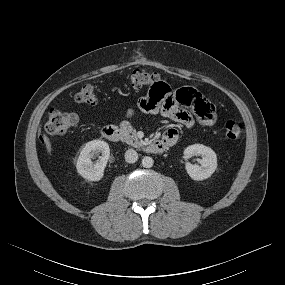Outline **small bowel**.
<instances>
[{"label":"small bowel","instance_id":"obj_1","mask_svg":"<svg viewBox=\"0 0 285 285\" xmlns=\"http://www.w3.org/2000/svg\"><path fill=\"white\" fill-rule=\"evenodd\" d=\"M147 91V96L138 100L136 108L126 111V119H132L138 112L153 114L162 111L166 117L186 127L195 123L211 126L216 122L214 105L195 88L183 87L176 91L165 79L157 77L149 82ZM178 137L177 129L169 128L162 140L172 146Z\"/></svg>","mask_w":285,"mask_h":285}]
</instances>
